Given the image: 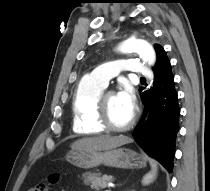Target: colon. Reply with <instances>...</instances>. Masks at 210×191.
<instances>
[{"label": "colon", "instance_id": "obj_1", "mask_svg": "<svg viewBox=\"0 0 210 191\" xmlns=\"http://www.w3.org/2000/svg\"><path fill=\"white\" fill-rule=\"evenodd\" d=\"M58 180H59V175L56 173L50 175V177H49L50 184H55L58 182ZM29 191H49V189H48L47 185L41 184V185L32 187Z\"/></svg>", "mask_w": 210, "mask_h": 191}]
</instances>
